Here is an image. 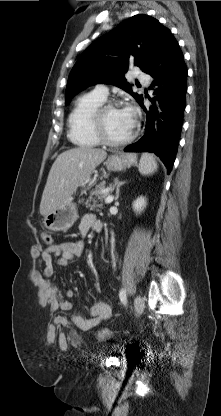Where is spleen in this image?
<instances>
[{"instance_id": "spleen-1", "label": "spleen", "mask_w": 221, "mask_h": 416, "mask_svg": "<svg viewBox=\"0 0 221 416\" xmlns=\"http://www.w3.org/2000/svg\"><path fill=\"white\" fill-rule=\"evenodd\" d=\"M158 168V164L154 156L150 153H143L138 165L139 172L142 175L153 174Z\"/></svg>"}]
</instances>
